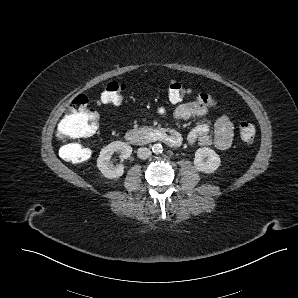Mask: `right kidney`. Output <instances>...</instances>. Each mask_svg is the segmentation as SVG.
I'll return each mask as SVG.
<instances>
[{"mask_svg":"<svg viewBox=\"0 0 298 298\" xmlns=\"http://www.w3.org/2000/svg\"><path fill=\"white\" fill-rule=\"evenodd\" d=\"M119 153L121 159H127L132 154V147L122 141H114L103 147L97 159V167L104 177L113 179L118 178L124 173L123 164L113 165L110 160L114 153Z\"/></svg>","mask_w":298,"mask_h":298,"instance_id":"1","label":"right kidney"}]
</instances>
